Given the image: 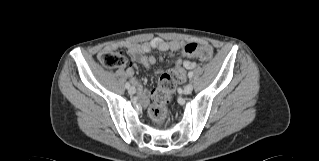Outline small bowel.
I'll return each instance as SVG.
<instances>
[{"label":"small bowel","instance_id":"c3829d8e","mask_svg":"<svg viewBox=\"0 0 319 161\" xmlns=\"http://www.w3.org/2000/svg\"><path fill=\"white\" fill-rule=\"evenodd\" d=\"M201 44L206 45L205 42H201ZM120 47H125L127 52L136 58V60L141 63L146 68H149L156 64V58L152 55H147L151 50L156 49L163 52H167L169 54L182 51L184 48V44L181 41L178 40H164L159 37H155L150 41H146L143 43H114L107 45L103 49V53L110 51V50H116ZM196 66V63L194 60L185 59V60H176L175 61V67H181L182 68V81H185L186 79V71L193 69ZM125 75L131 79V82L133 85H135L139 91V104L140 105H146L148 102L149 94L147 91L142 89L141 84L138 82V80L134 77L135 70L132 66H129L125 70Z\"/></svg>","mask_w":319,"mask_h":161}]
</instances>
